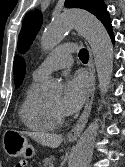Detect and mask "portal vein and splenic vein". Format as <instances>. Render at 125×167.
<instances>
[{
  "mask_svg": "<svg viewBox=\"0 0 125 167\" xmlns=\"http://www.w3.org/2000/svg\"><path fill=\"white\" fill-rule=\"evenodd\" d=\"M49 167H54V165H53V164H51Z\"/></svg>",
  "mask_w": 125,
  "mask_h": 167,
  "instance_id": "obj_1",
  "label": "portal vein and splenic vein"
}]
</instances>
